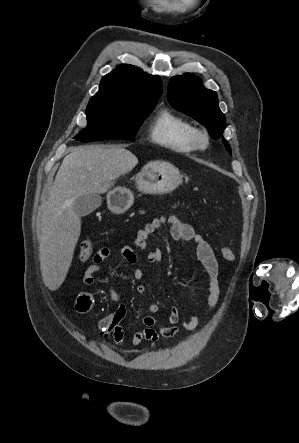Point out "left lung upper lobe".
<instances>
[{"instance_id":"1","label":"left lung upper lobe","mask_w":299,"mask_h":443,"mask_svg":"<svg viewBox=\"0 0 299 443\" xmlns=\"http://www.w3.org/2000/svg\"><path fill=\"white\" fill-rule=\"evenodd\" d=\"M167 99L178 111L191 116L204 125L211 138L218 139L225 128V116L218 106L214 91L205 89L201 80L190 73L170 79ZM222 141L231 154L228 142Z\"/></svg>"}]
</instances>
